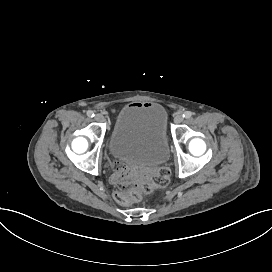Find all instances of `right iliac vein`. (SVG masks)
I'll use <instances>...</instances> for the list:
<instances>
[{"mask_svg":"<svg viewBox=\"0 0 272 272\" xmlns=\"http://www.w3.org/2000/svg\"><path fill=\"white\" fill-rule=\"evenodd\" d=\"M95 120L97 122H103L104 121V117L101 114H96L95 115Z\"/></svg>","mask_w":272,"mask_h":272,"instance_id":"right-iliac-vein-1","label":"right iliac vein"}]
</instances>
